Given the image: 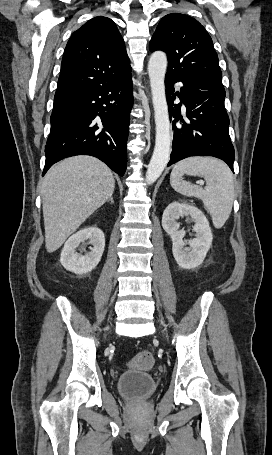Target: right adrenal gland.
<instances>
[{"instance_id":"1","label":"right adrenal gland","mask_w":272,"mask_h":455,"mask_svg":"<svg viewBox=\"0 0 272 455\" xmlns=\"http://www.w3.org/2000/svg\"><path fill=\"white\" fill-rule=\"evenodd\" d=\"M108 202H111V204L114 203L113 196H111V197L108 199Z\"/></svg>"}]
</instances>
